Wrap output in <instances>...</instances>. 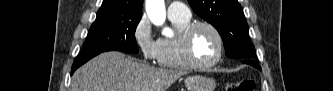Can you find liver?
Wrapping results in <instances>:
<instances>
[{"mask_svg": "<svg viewBox=\"0 0 333 91\" xmlns=\"http://www.w3.org/2000/svg\"><path fill=\"white\" fill-rule=\"evenodd\" d=\"M184 74L181 70L154 68L110 51L76 70L71 91H166Z\"/></svg>", "mask_w": 333, "mask_h": 91, "instance_id": "6515ba94", "label": "liver"}]
</instances>
